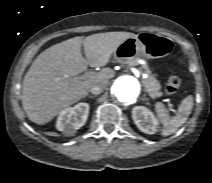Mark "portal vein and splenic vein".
I'll list each match as a JSON object with an SVG mask.
<instances>
[{
    "label": "portal vein and splenic vein",
    "mask_w": 212,
    "mask_h": 183,
    "mask_svg": "<svg viewBox=\"0 0 212 183\" xmlns=\"http://www.w3.org/2000/svg\"><path fill=\"white\" fill-rule=\"evenodd\" d=\"M93 73H94V72H87V73H85L84 77L90 76V75H92Z\"/></svg>",
    "instance_id": "portal-vein-and-splenic-vein-1"
}]
</instances>
